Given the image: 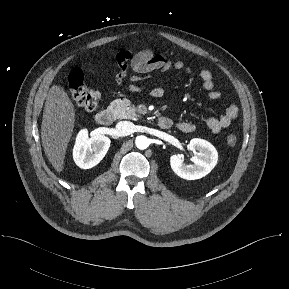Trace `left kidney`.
<instances>
[{"mask_svg": "<svg viewBox=\"0 0 289 289\" xmlns=\"http://www.w3.org/2000/svg\"><path fill=\"white\" fill-rule=\"evenodd\" d=\"M188 147L194 153L191 158L194 164L186 165L182 156L172 155L170 157L171 168L183 179H200L215 167L218 161V153L211 143L200 138L192 139Z\"/></svg>", "mask_w": 289, "mask_h": 289, "instance_id": "5707ae66", "label": "left kidney"}]
</instances>
